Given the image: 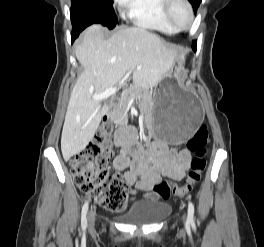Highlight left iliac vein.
Returning a JSON list of instances; mask_svg holds the SVG:
<instances>
[{
    "mask_svg": "<svg viewBox=\"0 0 264 247\" xmlns=\"http://www.w3.org/2000/svg\"><path fill=\"white\" fill-rule=\"evenodd\" d=\"M186 219V216H185V214L183 215V220H185Z\"/></svg>",
    "mask_w": 264,
    "mask_h": 247,
    "instance_id": "left-iliac-vein-1",
    "label": "left iliac vein"
}]
</instances>
